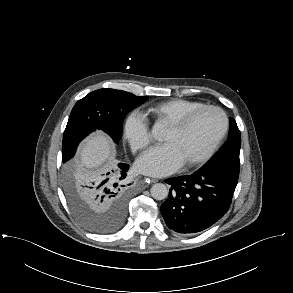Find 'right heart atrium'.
Instances as JSON below:
<instances>
[{
	"instance_id": "1",
	"label": "right heart atrium",
	"mask_w": 293,
	"mask_h": 293,
	"mask_svg": "<svg viewBox=\"0 0 293 293\" xmlns=\"http://www.w3.org/2000/svg\"><path fill=\"white\" fill-rule=\"evenodd\" d=\"M122 137L133 152L142 150L150 144L149 125L141 112L133 110L125 116L122 124Z\"/></svg>"
}]
</instances>
